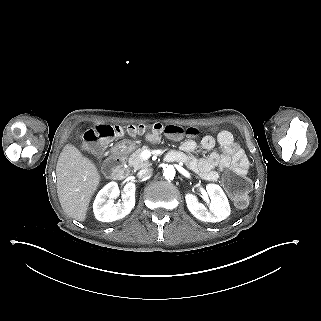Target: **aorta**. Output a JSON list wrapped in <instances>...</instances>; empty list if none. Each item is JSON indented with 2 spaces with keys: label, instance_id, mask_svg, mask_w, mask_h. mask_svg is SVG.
<instances>
[{
  "label": "aorta",
  "instance_id": "aorta-1",
  "mask_svg": "<svg viewBox=\"0 0 321 321\" xmlns=\"http://www.w3.org/2000/svg\"><path fill=\"white\" fill-rule=\"evenodd\" d=\"M175 173V168L172 165H168L163 169V175L168 180H172L175 177Z\"/></svg>",
  "mask_w": 321,
  "mask_h": 321
}]
</instances>
